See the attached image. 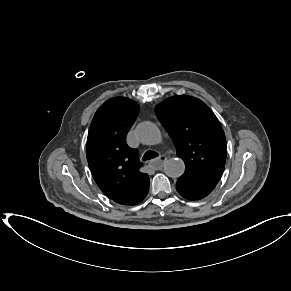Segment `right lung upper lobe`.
I'll list each match as a JSON object with an SVG mask.
<instances>
[{
	"label": "right lung upper lobe",
	"instance_id": "1",
	"mask_svg": "<svg viewBox=\"0 0 291 291\" xmlns=\"http://www.w3.org/2000/svg\"><path fill=\"white\" fill-rule=\"evenodd\" d=\"M138 112L139 105L129 98L107 100L92 119L86 143L94 180L109 199L122 205L140 203L149 190V176L139 170L138 151L126 143Z\"/></svg>",
	"mask_w": 291,
	"mask_h": 291
}]
</instances>
